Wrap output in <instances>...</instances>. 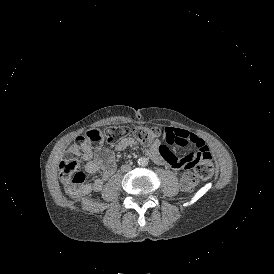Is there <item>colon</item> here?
I'll use <instances>...</instances> for the list:
<instances>
[{"instance_id":"1","label":"colon","mask_w":274,"mask_h":274,"mask_svg":"<svg viewBox=\"0 0 274 274\" xmlns=\"http://www.w3.org/2000/svg\"><path fill=\"white\" fill-rule=\"evenodd\" d=\"M132 135L143 143H151L161 137L159 128L155 127H133ZM126 133L122 126L109 127L104 131V138L107 143H114ZM99 142L98 134H83L76 138L67 149L65 157L59 163L60 176L65 184V191L69 195H75L80 189L86 186L87 176L81 169L78 158L79 149H96ZM197 175L184 173L181 178L182 186L186 190H192L198 183Z\"/></svg>"}]
</instances>
